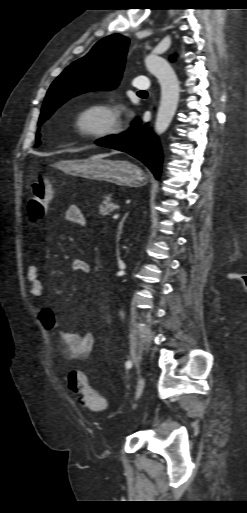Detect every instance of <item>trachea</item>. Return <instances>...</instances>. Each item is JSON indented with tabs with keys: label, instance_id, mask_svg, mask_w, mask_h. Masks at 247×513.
<instances>
[{
	"label": "trachea",
	"instance_id": "3493384b",
	"mask_svg": "<svg viewBox=\"0 0 247 513\" xmlns=\"http://www.w3.org/2000/svg\"><path fill=\"white\" fill-rule=\"evenodd\" d=\"M139 93H140V94H147V92H146V91H139ZM244 279H245V281H247V277H245Z\"/></svg>",
	"mask_w": 247,
	"mask_h": 513
}]
</instances>
